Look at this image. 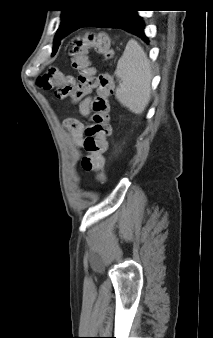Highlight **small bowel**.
Masks as SVG:
<instances>
[{
	"label": "small bowel",
	"instance_id": "1",
	"mask_svg": "<svg viewBox=\"0 0 213 338\" xmlns=\"http://www.w3.org/2000/svg\"><path fill=\"white\" fill-rule=\"evenodd\" d=\"M91 99L89 97L85 98L79 106V112L81 115L87 117L91 113ZM78 126L76 129H69V135L72 140L73 145L79 150H83L84 148V129L85 125L81 121H77Z\"/></svg>",
	"mask_w": 213,
	"mask_h": 338
}]
</instances>
